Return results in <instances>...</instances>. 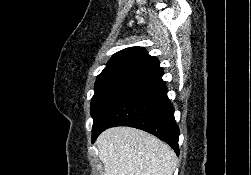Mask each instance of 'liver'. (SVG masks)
<instances>
[{
	"instance_id": "1",
	"label": "liver",
	"mask_w": 251,
	"mask_h": 175,
	"mask_svg": "<svg viewBox=\"0 0 251 175\" xmlns=\"http://www.w3.org/2000/svg\"><path fill=\"white\" fill-rule=\"evenodd\" d=\"M103 175H173L176 153L170 145L135 127H110L97 137Z\"/></svg>"
}]
</instances>
